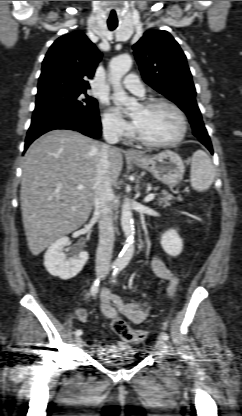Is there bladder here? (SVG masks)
<instances>
[{"label":"bladder","instance_id":"obj_1","mask_svg":"<svg viewBox=\"0 0 242 416\" xmlns=\"http://www.w3.org/2000/svg\"><path fill=\"white\" fill-rule=\"evenodd\" d=\"M131 353H132L131 350L117 352V353H110V354H108V356L110 357L108 359V361L113 366H120V365L128 364V363H130V360H127L126 358H128Z\"/></svg>","mask_w":242,"mask_h":416}]
</instances>
